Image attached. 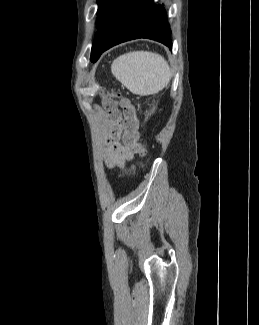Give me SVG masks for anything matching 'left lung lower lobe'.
<instances>
[{
	"label": "left lung lower lobe",
	"mask_w": 259,
	"mask_h": 325,
	"mask_svg": "<svg viewBox=\"0 0 259 325\" xmlns=\"http://www.w3.org/2000/svg\"><path fill=\"white\" fill-rule=\"evenodd\" d=\"M171 30L163 5L153 0H124L104 31L101 53L133 39L148 38L172 49Z\"/></svg>",
	"instance_id": "left-lung-lower-lobe-1"
}]
</instances>
